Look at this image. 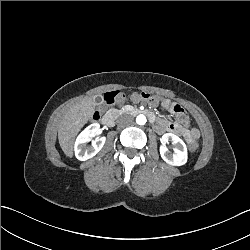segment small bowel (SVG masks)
Returning a JSON list of instances; mask_svg holds the SVG:
<instances>
[{
    "label": "small bowel",
    "instance_id": "obj_1",
    "mask_svg": "<svg viewBox=\"0 0 250 250\" xmlns=\"http://www.w3.org/2000/svg\"><path fill=\"white\" fill-rule=\"evenodd\" d=\"M137 95H138V93H133V94L131 95V99H132L133 101H138L139 99H138ZM161 104H162V106H163L164 108H166V109H171V111L174 112L173 109H174V107H175L176 105H173L169 100H163ZM158 126H159V128H161V129H162V128H168V127H170V129H172V130L175 131V132L183 131V128H182L181 126H179V125H170V126H169L167 123H165V122H163V121L158 122ZM198 136H199V133H198V131H197L196 129L188 130V137H189L191 140L197 139Z\"/></svg>",
    "mask_w": 250,
    "mask_h": 250
}]
</instances>
